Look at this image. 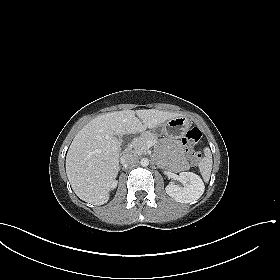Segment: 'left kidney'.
<instances>
[{"label":"left kidney","mask_w":280,"mask_h":280,"mask_svg":"<svg viewBox=\"0 0 280 280\" xmlns=\"http://www.w3.org/2000/svg\"><path fill=\"white\" fill-rule=\"evenodd\" d=\"M180 181L184 187L173 183L166 186V193L175 201L180 203H190L198 200L204 193V183L202 179L192 172H181Z\"/></svg>","instance_id":"left-kidney-1"}]
</instances>
